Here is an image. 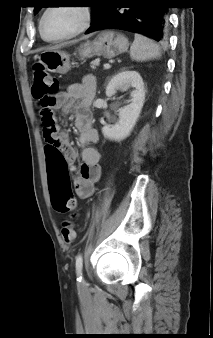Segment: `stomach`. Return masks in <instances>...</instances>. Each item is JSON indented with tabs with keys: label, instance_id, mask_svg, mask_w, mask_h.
Segmentation results:
<instances>
[{
	"label": "stomach",
	"instance_id": "stomach-1",
	"mask_svg": "<svg viewBox=\"0 0 213 338\" xmlns=\"http://www.w3.org/2000/svg\"><path fill=\"white\" fill-rule=\"evenodd\" d=\"M128 39L121 33L115 31H102L92 41L85 42L79 55L82 59L92 55L114 58L128 50ZM39 62L50 72L65 74L70 68L69 55L61 50H47L38 57Z\"/></svg>",
	"mask_w": 213,
	"mask_h": 338
}]
</instances>
